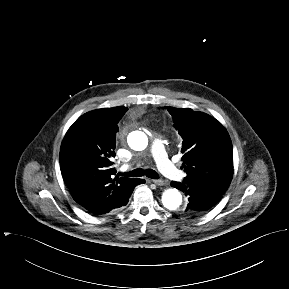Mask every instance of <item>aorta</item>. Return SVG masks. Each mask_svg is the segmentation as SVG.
<instances>
[{"label": "aorta", "instance_id": "obj_1", "mask_svg": "<svg viewBox=\"0 0 289 289\" xmlns=\"http://www.w3.org/2000/svg\"><path fill=\"white\" fill-rule=\"evenodd\" d=\"M127 141L130 148L136 151L144 150L148 145L147 136L140 131L131 133ZM162 204L170 211L178 210L182 204L181 193L175 188L165 190L162 194Z\"/></svg>", "mask_w": 289, "mask_h": 289}]
</instances>
